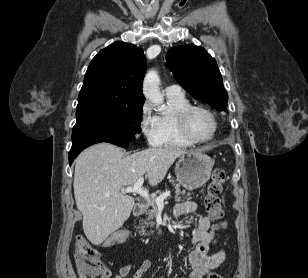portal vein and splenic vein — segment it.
<instances>
[{"mask_svg":"<svg viewBox=\"0 0 308 278\" xmlns=\"http://www.w3.org/2000/svg\"><path fill=\"white\" fill-rule=\"evenodd\" d=\"M144 182V178L143 177H140L135 183L133 186H130V187H126V188H122L121 191L123 193H137L139 194L140 196L144 197L145 199H148L150 200V196H149V193L142 189V184ZM170 196V191H166L164 192L162 195L156 197L154 200H155V203L156 205H163L164 204V200L167 199L168 197Z\"/></svg>","mask_w":308,"mask_h":278,"instance_id":"portal-vein-and-splenic-vein-1","label":"portal vein and splenic vein"}]
</instances>
